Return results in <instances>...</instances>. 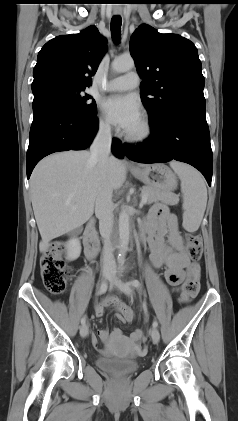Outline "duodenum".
Listing matches in <instances>:
<instances>
[{"label":"duodenum","mask_w":238,"mask_h":421,"mask_svg":"<svg viewBox=\"0 0 238 421\" xmlns=\"http://www.w3.org/2000/svg\"><path fill=\"white\" fill-rule=\"evenodd\" d=\"M83 241L86 256L89 259L95 258L99 251V240L95 227L92 223L87 225L84 232Z\"/></svg>","instance_id":"1"}]
</instances>
